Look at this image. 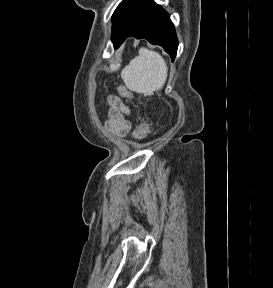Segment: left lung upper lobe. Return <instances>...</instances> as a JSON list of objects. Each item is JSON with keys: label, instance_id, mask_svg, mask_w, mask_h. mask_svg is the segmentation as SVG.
<instances>
[{"label": "left lung upper lobe", "instance_id": "5c2ea615", "mask_svg": "<svg viewBox=\"0 0 273 288\" xmlns=\"http://www.w3.org/2000/svg\"><path fill=\"white\" fill-rule=\"evenodd\" d=\"M131 2V0H123L118 7L116 8V10L114 11L113 15H112V22H113V26H112V35L115 33V30L117 28L118 22L122 16V14L124 13L126 7L128 6V4Z\"/></svg>", "mask_w": 273, "mask_h": 288}]
</instances>
